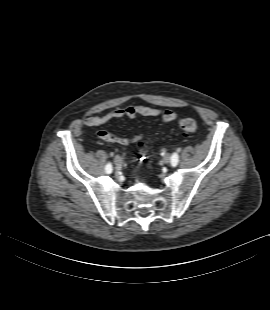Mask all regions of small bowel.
<instances>
[{"instance_id":"obj_1","label":"small bowel","mask_w":270,"mask_h":310,"mask_svg":"<svg viewBox=\"0 0 270 310\" xmlns=\"http://www.w3.org/2000/svg\"><path fill=\"white\" fill-rule=\"evenodd\" d=\"M159 117L162 123H169L176 119L177 115L174 111L169 109H160L141 104L128 105L122 108H115L101 116H92L84 120V125L87 127H101L107 124L112 119L129 118L135 119L137 117ZM97 138L105 142H113L123 146L133 144L140 140L141 136L121 137L111 132L100 130L97 132Z\"/></svg>"}]
</instances>
